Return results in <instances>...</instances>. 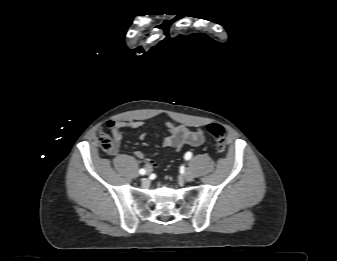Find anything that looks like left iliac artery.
Returning <instances> with one entry per match:
<instances>
[{"instance_id":"left-iliac-artery-1","label":"left iliac artery","mask_w":337,"mask_h":261,"mask_svg":"<svg viewBox=\"0 0 337 261\" xmlns=\"http://www.w3.org/2000/svg\"><path fill=\"white\" fill-rule=\"evenodd\" d=\"M184 157H185L186 160H190L191 157H192V153L191 152H187Z\"/></svg>"}]
</instances>
